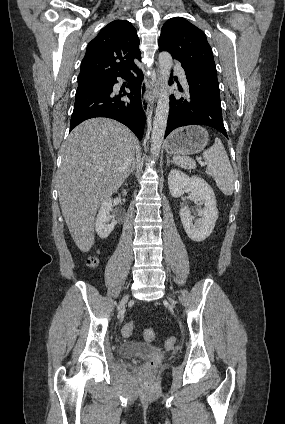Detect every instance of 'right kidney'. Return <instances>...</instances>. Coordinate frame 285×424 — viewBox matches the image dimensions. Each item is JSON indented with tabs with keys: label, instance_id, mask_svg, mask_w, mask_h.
Returning <instances> with one entry per match:
<instances>
[{
	"label": "right kidney",
	"instance_id": "right-kidney-1",
	"mask_svg": "<svg viewBox=\"0 0 285 424\" xmlns=\"http://www.w3.org/2000/svg\"><path fill=\"white\" fill-rule=\"evenodd\" d=\"M122 193L126 195L127 191L124 190ZM111 210L112 199L108 198L101 203V207L95 222V230L101 239L107 238L117 224L114 216L110 215Z\"/></svg>",
	"mask_w": 285,
	"mask_h": 424
}]
</instances>
